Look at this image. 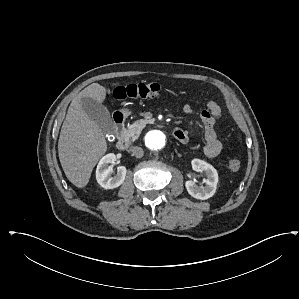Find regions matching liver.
Returning a JSON list of instances; mask_svg holds the SVG:
<instances>
[{
	"instance_id": "1",
	"label": "liver",
	"mask_w": 299,
	"mask_h": 299,
	"mask_svg": "<svg viewBox=\"0 0 299 299\" xmlns=\"http://www.w3.org/2000/svg\"><path fill=\"white\" fill-rule=\"evenodd\" d=\"M86 97L102 103L106 98V89L93 83L72 100L58 141V155L63 171L78 188L88 184L93 168L107 151L103 131L82 108L81 100Z\"/></svg>"
}]
</instances>
